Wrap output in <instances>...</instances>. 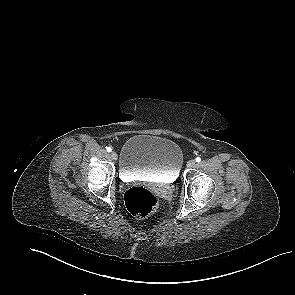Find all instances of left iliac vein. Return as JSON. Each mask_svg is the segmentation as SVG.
Instances as JSON below:
<instances>
[{
  "label": "left iliac vein",
  "instance_id": "4c4485c4",
  "mask_svg": "<svg viewBox=\"0 0 295 295\" xmlns=\"http://www.w3.org/2000/svg\"><path fill=\"white\" fill-rule=\"evenodd\" d=\"M195 160H189L188 162H187V167L188 168H192V167H194L195 166Z\"/></svg>",
  "mask_w": 295,
  "mask_h": 295
}]
</instances>
